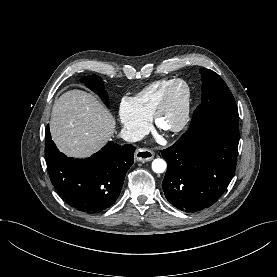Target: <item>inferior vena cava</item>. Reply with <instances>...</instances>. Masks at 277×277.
<instances>
[{"label": "inferior vena cava", "instance_id": "obj_1", "mask_svg": "<svg viewBox=\"0 0 277 277\" xmlns=\"http://www.w3.org/2000/svg\"><path fill=\"white\" fill-rule=\"evenodd\" d=\"M120 136L127 142L139 141L142 137L135 131L127 128H123L120 132Z\"/></svg>", "mask_w": 277, "mask_h": 277}]
</instances>
